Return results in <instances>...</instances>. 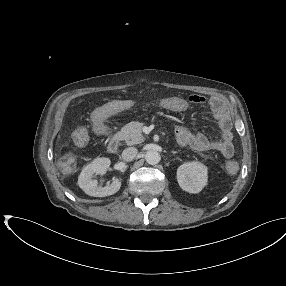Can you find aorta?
<instances>
[{"label": "aorta", "instance_id": "aorta-1", "mask_svg": "<svg viewBox=\"0 0 286 286\" xmlns=\"http://www.w3.org/2000/svg\"><path fill=\"white\" fill-rule=\"evenodd\" d=\"M160 154L157 151L149 150L145 154V160L150 165H156L160 162Z\"/></svg>", "mask_w": 286, "mask_h": 286}]
</instances>
